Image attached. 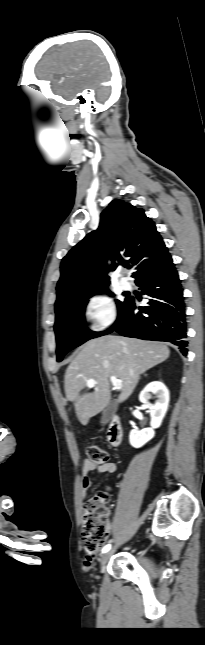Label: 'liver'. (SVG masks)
<instances>
[{
    "label": "liver",
    "mask_w": 205,
    "mask_h": 645,
    "mask_svg": "<svg viewBox=\"0 0 205 645\" xmlns=\"http://www.w3.org/2000/svg\"><path fill=\"white\" fill-rule=\"evenodd\" d=\"M169 348L161 343L119 336H102L87 341L68 366L64 377L65 403L74 404L82 425L103 411L110 402L109 378L122 380L118 402L122 403L133 393L140 375L165 361ZM94 378L96 384L87 386ZM86 388L91 392L81 393Z\"/></svg>",
    "instance_id": "obj_1"
}]
</instances>
